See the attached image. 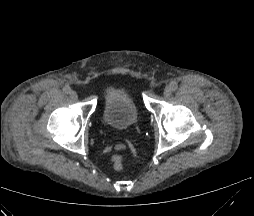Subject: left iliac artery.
Segmentation results:
<instances>
[{
  "instance_id": "1",
  "label": "left iliac artery",
  "mask_w": 254,
  "mask_h": 216,
  "mask_svg": "<svg viewBox=\"0 0 254 216\" xmlns=\"http://www.w3.org/2000/svg\"><path fill=\"white\" fill-rule=\"evenodd\" d=\"M169 86L171 91H175L178 88V84L176 82H171Z\"/></svg>"
}]
</instances>
